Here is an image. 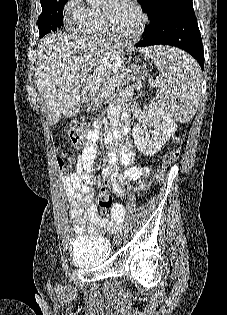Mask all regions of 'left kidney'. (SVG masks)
<instances>
[{
  "instance_id": "left-kidney-1",
  "label": "left kidney",
  "mask_w": 227,
  "mask_h": 315,
  "mask_svg": "<svg viewBox=\"0 0 227 315\" xmlns=\"http://www.w3.org/2000/svg\"><path fill=\"white\" fill-rule=\"evenodd\" d=\"M147 125L154 128L152 134L146 132ZM176 130L175 121L156 102L151 101L147 123L138 124L133 129L134 142L141 153L152 156L161 150Z\"/></svg>"
}]
</instances>
